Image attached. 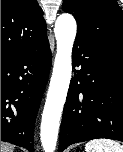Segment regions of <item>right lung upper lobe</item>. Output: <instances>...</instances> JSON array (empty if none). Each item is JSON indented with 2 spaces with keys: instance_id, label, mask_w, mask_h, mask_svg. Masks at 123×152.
<instances>
[{
  "instance_id": "obj_1",
  "label": "right lung upper lobe",
  "mask_w": 123,
  "mask_h": 152,
  "mask_svg": "<svg viewBox=\"0 0 123 152\" xmlns=\"http://www.w3.org/2000/svg\"><path fill=\"white\" fill-rule=\"evenodd\" d=\"M45 36L37 0H1V56L27 50Z\"/></svg>"
}]
</instances>
